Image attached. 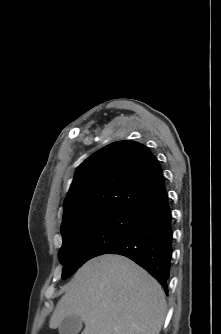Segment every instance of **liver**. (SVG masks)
<instances>
[{"label":"liver","mask_w":221,"mask_h":334,"mask_svg":"<svg viewBox=\"0 0 221 334\" xmlns=\"http://www.w3.org/2000/svg\"><path fill=\"white\" fill-rule=\"evenodd\" d=\"M166 309L165 293L151 275L125 256L104 254L76 272L49 327L75 315L85 324L82 334H159Z\"/></svg>","instance_id":"liver-1"}]
</instances>
